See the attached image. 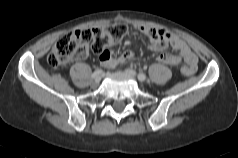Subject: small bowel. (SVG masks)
Returning <instances> with one entry per match:
<instances>
[{"instance_id":"c3829d8e","label":"small bowel","mask_w":238,"mask_h":158,"mask_svg":"<svg viewBox=\"0 0 238 158\" xmlns=\"http://www.w3.org/2000/svg\"><path fill=\"white\" fill-rule=\"evenodd\" d=\"M140 32L149 38V46L154 51H164L172 47L178 54L161 53L157 60L171 67H178L182 64L196 66L197 57L188 44L177 35L162 29L147 26L139 27ZM133 57L132 51H125L120 56L115 57L109 50L100 54L101 63L107 68H116Z\"/></svg>"}]
</instances>
